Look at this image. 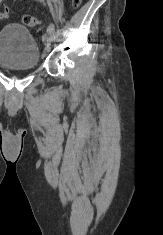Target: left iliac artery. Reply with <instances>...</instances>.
<instances>
[{
    "label": "left iliac artery",
    "mask_w": 163,
    "mask_h": 235,
    "mask_svg": "<svg viewBox=\"0 0 163 235\" xmlns=\"http://www.w3.org/2000/svg\"><path fill=\"white\" fill-rule=\"evenodd\" d=\"M40 1H43V0H40ZM54 31H55V27L53 24H50L47 28V32L51 35L52 39L55 38L54 36Z\"/></svg>",
    "instance_id": "1"
}]
</instances>
